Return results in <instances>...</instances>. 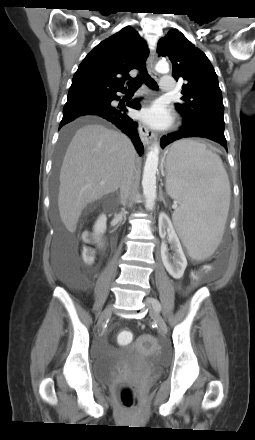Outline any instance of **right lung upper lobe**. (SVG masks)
<instances>
[{"label":"right lung upper lobe","mask_w":255,"mask_h":440,"mask_svg":"<svg viewBox=\"0 0 255 440\" xmlns=\"http://www.w3.org/2000/svg\"><path fill=\"white\" fill-rule=\"evenodd\" d=\"M145 41L131 26L99 43L79 65L68 98L108 94L124 89L129 71L140 69L148 57Z\"/></svg>","instance_id":"right-lung-upper-lobe-1"}]
</instances>
